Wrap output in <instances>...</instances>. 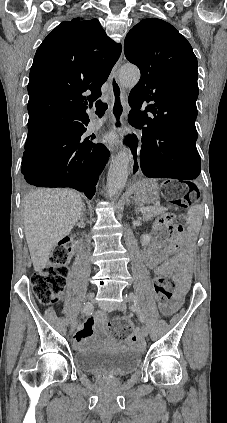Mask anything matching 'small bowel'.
<instances>
[{
	"label": "small bowel",
	"mask_w": 227,
	"mask_h": 423,
	"mask_svg": "<svg viewBox=\"0 0 227 423\" xmlns=\"http://www.w3.org/2000/svg\"><path fill=\"white\" fill-rule=\"evenodd\" d=\"M168 254V250L162 246L160 243H154L146 251L144 255V260L147 266L154 270V273L157 276L167 275L177 271L179 273L178 279L182 285H186L189 279V270L187 266V254L183 253L179 256L174 257L170 262L163 263L164 259ZM182 300L177 296L172 302L160 304V310L163 315L170 316L175 313L180 305ZM107 326V315L102 311L96 312L94 315L87 318L84 325L75 335V344L78 347L85 346L89 340L92 338L94 331L97 327L106 328ZM102 338L104 342H111L112 339L107 334H103ZM140 340V334L138 332L134 333L129 341L137 342Z\"/></svg>",
	"instance_id": "c3829d8e"
}]
</instances>
